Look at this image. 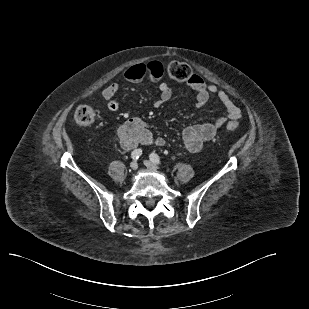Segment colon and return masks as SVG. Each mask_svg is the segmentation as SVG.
<instances>
[{
    "mask_svg": "<svg viewBox=\"0 0 309 309\" xmlns=\"http://www.w3.org/2000/svg\"><path fill=\"white\" fill-rule=\"evenodd\" d=\"M166 71L170 78L178 82H189L194 77L191 67L183 62H171ZM74 118L78 125L89 127L97 121L98 112L90 105H80L75 111ZM237 128V122L230 121L226 124V129L229 131H235Z\"/></svg>",
    "mask_w": 309,
    "mask_h": 309,
    "instance_id": "1",
    "label": "colon"
}]
</instances>
